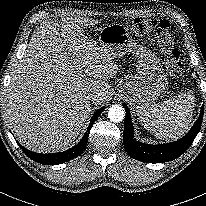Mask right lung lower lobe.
<instances>
[{
	"instance_id": "obj_1",
	"label": "right lung lower lobe",
	"mask_w": 206,
	"mask_h": 206,
	"mask_svg": "<svg viewBox=\"0 0 206 206\" xmlns=\"http://www.w3.org/2000/svg\"><path fill=\"white\" fill-rule=\"evenodd\" d=\"M104 108L98 109L92 116L91 121L89 123V126L87 128L86 133L84 134L83 138L80 140V142L73 146L72 148L64 151V152H59V153H51V154H41V153H35L32 152L26 148H24L21 144L18 143L20 148L24 151V153L31 158L33 161H36L41 164L45 165H56V164H61L65 163L71 159H74L78 157L83 150L85 149V146L88 141L89 137V132L90 129L95 122V120L99 117V115L103 112Z\"/></svg>"
}]
</instances>
